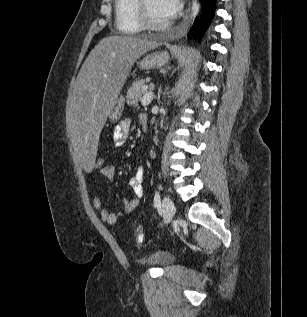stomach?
I'll return each mask as SVG.
<instances>
[{"label":"stomach","instance_id":"obj_1","mask_svg":"<svg viewBox=\"0 0 307 317\" xmlns=\"http://www.w3.org/2000/svg\"><path fill=\"white\" fill-rule=\"evenodd\" d=\"M169 61V55L166 52H154L148 54L142 58L139 62V66L141 69H153V68H160L165 66ZM124 108V97L118 96L115 99V104L111 113L109 115V119L112 122H116L122 116V111Z\"/></svg>","mask_w":307,"mask_h":317}]
</instances>
